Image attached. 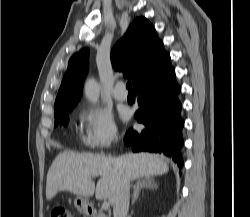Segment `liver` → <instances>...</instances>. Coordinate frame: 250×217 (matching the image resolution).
I'll return each instance as SVG.
<instances>
[{
	"instance_id": "obj_1",
	"label": "liver",
	"mask_w": 250,
	"mask_h": 217,
	"mask_svg": "<svg viewBox=\"0 0 250 217\" xmlns=\"http://www.w3.org/2000/svg\"><path fill=\"white\" fill-rule=\"evenodd\" d=\"M118 166L129 181L149 178L168 172L164 157L151 153H126L116 158L97 154L60 153L51 164L46 182V198L51 200L60 191L77 196L108 199L114 205L118 184ZM100 176L96 189L94 177Z\"/></svg>"
}]
</instances>
